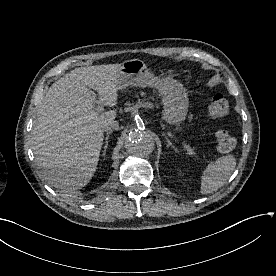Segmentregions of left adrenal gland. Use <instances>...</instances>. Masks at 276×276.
I'll list each match as a JSON object with an SVG mask.
<instances>
[{"label": "left adrenal gland", "mask_w": 276, "mask_h": 276, "mask_svg": "<svg viewBox=\"0 0 276 276\" xmlns=\"http://www.w3.org/2000/svg\"><path fill=\"white\" fill-rule=\"evenodd\" d=\"M163 136L165 137V139L167 141V147H172L175 151H177L176 147L172 144V142H170V140L164 133H163Z\"/></svg>", "instance_id": "1"}]
</instances>
